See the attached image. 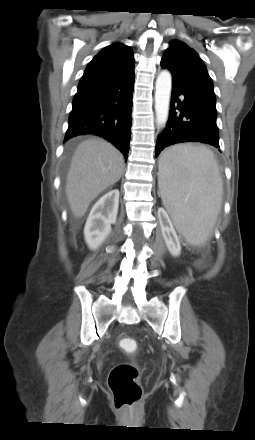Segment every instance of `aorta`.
Wrapping results in <instances>:
<instances>
[{
  "label": "aorta",
  "instance_id": "aorta-1",
  "mask_svg": "<svg viewBox=\"0 0 255 440\" xmlns=\"http://www.w3.org/2000/svg\"><path fill=\"white\" fill-rule=\"evenodd\" d=\"M171 87V74L167 70L161 71L155 85V112L160 127H164L168 120Z\"/></svg>",
  "mask_w": 255,
  "mask_h": 440
}]
</instances>
